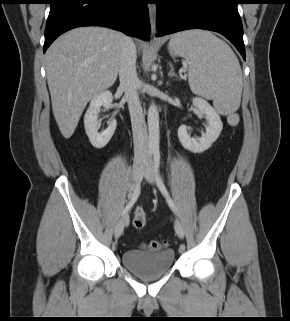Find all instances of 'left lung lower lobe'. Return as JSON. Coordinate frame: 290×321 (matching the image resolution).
<instances>
[{
    "mask_svg": "<svg viewBox=\"0 0 290 321\" xmlns=\"http://www.w3.org/2000/svg\"><path fill=\"white\" fill-rule=\"evenodd\" d=\"M240 0H158L157 36L188 29H205L224 35L245 60Z\"/></svg>",
    "mask_w": 290,
    "mask_h": 321,
    "instance_id": "1",
    "label": "left lung lower lobe"
}]
</instances>
